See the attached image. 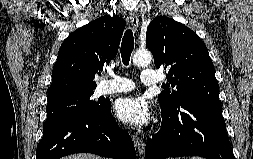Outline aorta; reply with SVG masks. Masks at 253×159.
<instances>
[{"instance_id":"obj_1","label":"aorta","mask_w":253,"mask_h":159,"mask_svg":"<svg viewBox=\"0 0 253 159\" xmlns=\"http://www.w3.org/2000/svg\"><path fill=\"white\" fill-rule=\"evenodd\" d=\"M133 63L138 66L149 65L152 61V55L147 50H137L133 55Z\"/></svg>"}]
</instances>
